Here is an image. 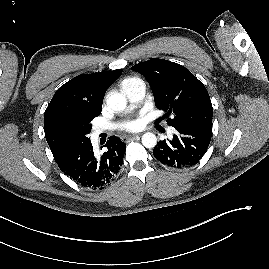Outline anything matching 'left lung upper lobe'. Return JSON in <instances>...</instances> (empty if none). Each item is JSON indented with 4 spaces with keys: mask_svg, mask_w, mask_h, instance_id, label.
I'll return each mask as SVG.
<instances>
[{
    "mask_svg": "<svg viewBox=\"0 0 269 269\" xmlns=\"http://www.w3.org/2000/svg\"><path fill=\"white\" fill-rule=\"evenodd\" d=\"M150 84L155 105L173 127L212 125L213 107L205 86L184 66L153 58L134 65Z\"/></svg>",
    "mask_w": 269,
    "mask_h": 269,
    "instance_id": "1",
    "label": "left lung upper lobe"
}]
</instances>
